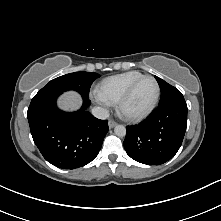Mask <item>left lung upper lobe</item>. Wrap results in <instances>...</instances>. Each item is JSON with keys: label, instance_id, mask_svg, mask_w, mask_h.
I'll return each instance as SVG.
<instances>
[{"label": "left lung upper lobe", "instance_id": "1", "mask_svg": "<svg viewBox=\"0 0 221 221\" xmlns=\"http://www.w3.org/2000/svg\"><path fill=\"white\" fill-rule=\"evenodd\" d=\"M155 78L161 89V99L159 106L173 101L184 100L183 95L177 88L171 86L157 76H155Z\"/></svg>", "mask_w": 221, "mask_h": 221}]
</instances>
